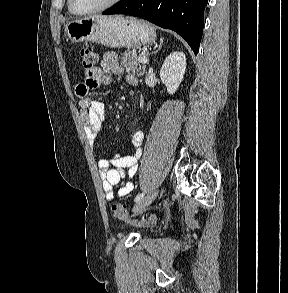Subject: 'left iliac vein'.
Here are the masks:
<instances>
[{"instance_id": "obj_1", "label": "left iliac vein", "mask_w": 288, "mask_h": 293, "mask_svg": "<svg viewBox=\"0 0 288 293\" xmlns=\"http://www.w3.org/2000/svg\"><path fill=\"white\" fill-rule=\"evenodd\" d=\"M157 194H158V191H155L152 194L146 196L145 198H142L140 201H138L135 204L133 208V212L138 213L144 210L148 205L152 203V201L156 198Z\"/></svg>"}]
</instances>
